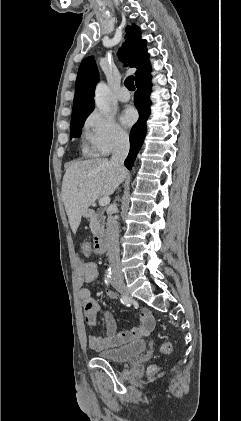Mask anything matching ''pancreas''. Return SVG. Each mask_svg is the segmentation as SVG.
I'll return each mask as SVG.
<instances>
[{"label": "pancreas", "instance_id": "1", "mask_svg": "<svg viewBox=\"0 0 241 421\" xmlns=\"http://www.w3.org/2000/svg\"><path fill=\"white\" fill-rule=\"evenodd\" d=\"M105 217L95 214L90 219V229L93 235L104 232Z\"/></svg>", "mask_w": 241, "mask_h": 421}]
</instances>
